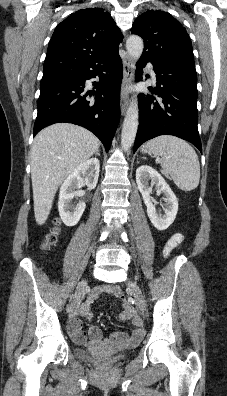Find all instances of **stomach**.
Masks as SVG:
<instances>
[{"instance_id":"0dacf381","label":"stomach","mask_w":227,"mask_h":396,"mask_svg":"<svg viewBox=\"0 0 227 396\" xmlns=\"http://www.w3.org/2000/svg\"><path fill=\"white\" fill-rule=\"evenodd\" d=\"M142 152H143V153H151V150H150V148L148 147V145H144V146L142 147Z\"/></svg>"}]
</instances>
